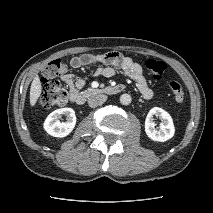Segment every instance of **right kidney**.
<instances>
[{
	"mask_svg": "<svg viewBox=\"0 0 213 213\" xmlns=\"http://www.w3.org/2000/svg\"><path fill=\"white\" fill-rule=\"evenodd\" d=\"M61 115L67 116L66 122H60ZM76 125V116L72 108H61L51 112L44 122L45 131L54 137H65Z\"/></svg>",
	"mask_w": 213,
	"mask_h": 213,
	"instance_id": "1",
	"label": "right kidney"
}]
</instances>
